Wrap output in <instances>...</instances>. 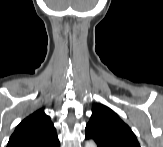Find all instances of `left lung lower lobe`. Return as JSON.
Wrapping results in <instances>:
<instances>
[{
	"label": "left lung lower lobe",
	"mask_w": 163,
	"mask_h": 147,
	"mask_svg": "<svg viewBox=\"0 0 163 147\" xmlns=\"http://www.w3.org/2000/svg\"><path fill=\"white\" fill-rule=\"evenodd\" d=\"M86 138H88V137L86 136ZM97 145H98V147H108L106 145H101V144H97Z\"/></svg>",
	"instance_id": "0a47b994"
}]
</instances>
